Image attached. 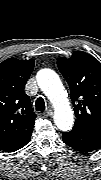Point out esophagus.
<instances>
[{"label": "esophagus", "mask_w": 101, "mask_h": 180, "mask_svg": "<svg viewBox=\"0 0 101 180\" xmlns=\"http://www.w3.org/2000/svg\"><path fill=\"white\" fill-rule=\"evenodd\" d=\"M52 113H53V110H52V108H50V107H48V108L45 110V114H46L47 116L52 115Z\"/></svg>", "instance_id": "1"}]
</instances>
